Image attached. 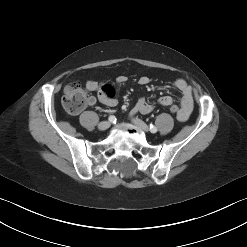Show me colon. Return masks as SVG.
Instances as JSON below:
<instances>
[{
	"label": "colon",
	"mask_w": 247,
	"mask_h": 247,
	"mask_svg": "<svg viewBox=\"0 0 247 247\" xmlns=\"http://www.w3.org/2000/svg\"><path fill=\"white\" fill-rule=\"evenodd\" d=\"M88 95L86 90L76 82L66 86L62 97L64 109L70 114L80 112L87 105ZM169 110L175 116L179 113V106L170 105Z\"/></svg>",
	"instance_id": "1"
}]
</instances>
